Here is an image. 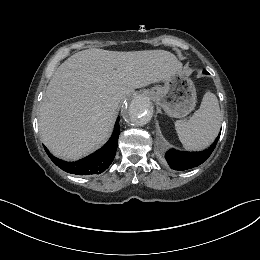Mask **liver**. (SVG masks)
<instances>
[{
  "label": "liver",
  "mask_w": 260,
  "mask_h": 260,
  "mask_svg": "<svg viewBox=\"0 0 260 260\" xmlns=\"http://www.w3.org/2000/svg\"><path fill=\"white\" fill-rule=\"evenodd\" d=\"M182 63L165 50L73 54L55 71L40 106L39 133L50 152L76 160L107 137L121 99L134 89L164 81Z\"/></svg>",
  "instance_id": "liver-1"
}]
</instances>
